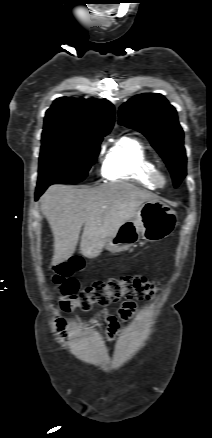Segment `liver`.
I'll use <instances>...</instances> for the list:
<instances>
[{
    "instance_id": "1",
    "label": "liver",
    "mask_w": 212,
    "mask_h": 438,
    "mask_svg": "<svg viewBox=\"0 0 212 438\" xmlns=\"http://www.w3.org/2000/svg\"><path fill=\"white\" fill-rule=\"evenodd\" d=\"M152 200L158 196L124 182L95 188L49 187L40 198V209L54 237L52 265L74 254L82 226L81 253L87 258L99 256L121 225Z\"/></svg>"
}]
</instances>
